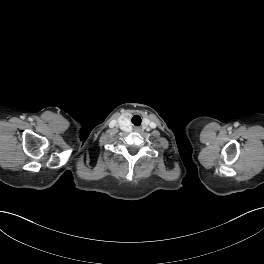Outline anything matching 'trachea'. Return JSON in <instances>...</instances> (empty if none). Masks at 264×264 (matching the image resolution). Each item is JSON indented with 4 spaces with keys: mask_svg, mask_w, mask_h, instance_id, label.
Here are the masks:
<instances>
[{
    "mask_svg": "<svg viewBox=\"0 0 264 264\" xmlns=\"http://www.w3.org/2000/svg\"><path fill=\"white\" fill-rule=\"evenodd\" d=\"M135 118H138V119H140V117H139V116L135 115V116L132 118V120H133V119L135 120ZM140 120H141V119H140Z\"/></svg>",
    "mask_w": 264,
    "mask_h": 264,
    "instance_id": "1",
    "label": "trachea"
}]
</instances>
